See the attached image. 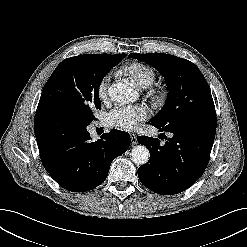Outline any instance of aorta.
Returning <instances> with one entry per match:
<instances>
[{"mask_svg": "<svg viewBox=\"0 0 247 247\" xmlns=\"http://www.w3.org/2000/svg\"><path fill=\"white\" fill-rule=\"evenodd\" d=\"M108 93L111 99L117 103L126 104L134 102L138 93L124 83L116 82L110 85ZM132 161L137 165H144L149 161V150L143 146H135L130 153Z\"/></svg>", "mask_w": 247, "mask_h": 247, "instance_id": "obj_1", "label": "aorta"}]
</instances>
